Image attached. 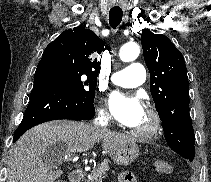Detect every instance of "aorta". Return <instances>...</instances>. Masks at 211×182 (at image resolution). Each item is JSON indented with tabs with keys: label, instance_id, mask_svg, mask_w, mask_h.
Instances as JSON below:
<instances>
[{
	"label": "aorta",
	"instance_id": "1",
	"mask_svg": "<svg viewBox=\"0 0 211 182\" xmlns=\"http://www.w3.org/2000/svg\"><path fill=\"white\" fill-rule=\"evenodd\" d=\"M139 53V45L135 42H128L121 47L119 57L123 62H130L135 60L139 56Z\"/></svg>",
	"mask_w": 211,
	"mask_h": 182
}]
</instances>
